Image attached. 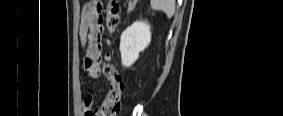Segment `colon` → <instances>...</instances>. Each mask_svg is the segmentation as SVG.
Listing matches in <instances>:
<instances>
[{"instance_id": "obj_1", "label": "colon", "mask_w": 283, "mask_h": 116, "mask_svg": "<svg viewBox=\"0 0 283 116\" xmlns=\"http://www.w3.org/2000/svg\"><path fill=\"white\" fill-rule=\"evenodd\" d=\"M105 23L108 30L107 43H111V37L120 23V7L115 0L107 1L105 9ZM103 73L109 82V91L101 106L104 116H116L121 110V96L124 91V82L117 66L112 62L109 54L105 55Z\"/></svg>"}]
</instances>
